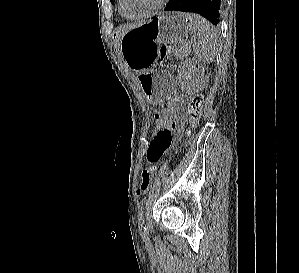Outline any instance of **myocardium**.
<instances>
[{
  "label": "myocardium",
  "mask_w": 299,
  "mask_h": 273,
  "mask_svg": "<svg viewBox=\"0 0 299 273\" xmlns=\"http://www.w3.org/2000/svg\"><path fill=\"white\" fill-rule=\"evenodd\" d=\"M168 0H159L158 3L148 12L141 14V15H137V16H128L124 13L123 11V6H122V2L123 0H118V9L120 14L129 19V20H139V19H144V18H148L151 17L153 15H155L156 13H158L167 3Z\"/></svg>",
  "instance_id": "myocardium-1"
}]
</instances>
